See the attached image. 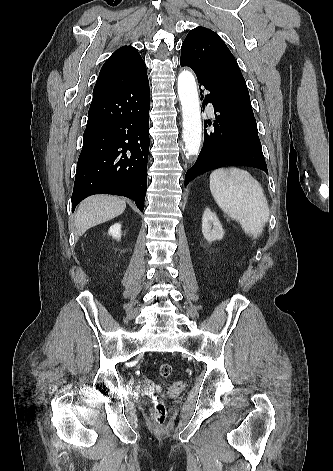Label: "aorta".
<instances>
[{"instance_id":"obj_1","label":"aorta","mask_w":333,"mask_h":471,"mask_svg":"<svg viewBox=\"0 0 333 471\" xmlns=\"http://www.w3.org/2000/svg\"><path fill=\"white\" fill-rule=\"evenodd\" d=\"M178 95L182 105L183 141L186 157H189L198 154L202 122L195 78L188 70H183L178 75Z\"/></svg>"}]
</instances>
